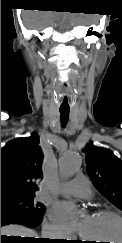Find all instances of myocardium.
I'll return each instance as SVG.
<instances>
[{
  "mask_svg": "<svg viewBox=\"0 0 122 243\" xmlns=\"http://www.w3.org/2000/svg\"><path fill=\"white\" fill-rule=\"evenodd\" d=\"M93 215H106V216H112L118 219L122 223V215L114 210L111 209H98L93 212ZM122 243V241H121Z\"/></svg>",
  "mask_w": 122,
  "mask_h": 243,
  "instance_id": "obj_1",
  "label": "myocardium"
}]
</instances>
